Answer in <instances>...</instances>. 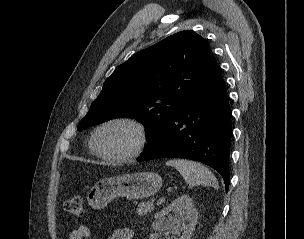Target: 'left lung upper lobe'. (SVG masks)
I'll list each match as a JSON object with an SVG mask.
<instances>
[{
	"label": "left lung upper lobe",
	"instance_id": "5c2ea615",
	"mask_svg": "<svg viewBox=\"0 0 304 239\" xmlns=\"http://www.w3.org/2000/svg\"><path fill=\"white\" fill-rule=\"evenodd\" d=\"M215 65L212 51L201 36L189 30L171 35L115 69L78 130L128 116L146 126L150 145Z\"/></svg>",
	"mask_w": 304,
	"mask_h": 239
}]
</instances>
